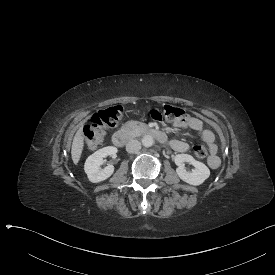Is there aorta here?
<instances>
[{"label": "aorta", "instance_id": "762f6f07", "mask_svg": "<svg viewBox=\"0 0 275 275\" xmlns=\"http://www.w3.org/2000/svg\"><path fill=\"white\" fill-rule=\"evenodd\" d=\"M142 145L144 147H151L153 145V137L151 135H145L142 138Z\"/></svg>", "mask_w": 275, "mask_h": 275}]
</instances>
